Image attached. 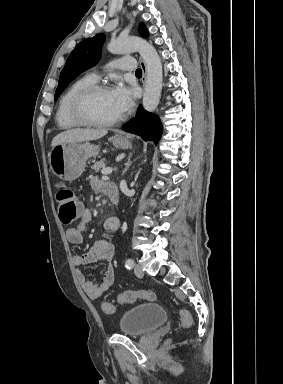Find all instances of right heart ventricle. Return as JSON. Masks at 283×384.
<instances>
[{
	"label": "right heart ventricle",
	"instance_id": "obj_1",
	"mask_svg": "<svg viewBox=\"0 0 283 384\" xmlns=\"http://www.w3.org/2000/svg\"><path fill=\"white\" fill-rule=\"evenodd\" d=\"M94 83L95 82L90 80L88 76L82 77L72 83L69 88L62 94L58 101L55 112V120L59 129L69 131L78 128V126L71 120L69 115L71 101L80 90Z\"/></svg>",
	"mask_w": 283,
	"mask_h": 384
}]
</instances>
